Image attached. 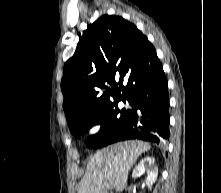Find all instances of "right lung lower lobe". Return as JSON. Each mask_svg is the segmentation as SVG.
Segmentation results:
<instances>
[{
    "instance_id": "98d812e1",
    "label": "right lung lower lobe",
    "mask_w": 221,
    "mask_h": 193,
    "mask_svg": "<svg viewBox=\"0 0 221 193\" xmlns=\"http://www.w3.org/2000/svg\"><path fill=\"white\" fill-rule=\"evenodd\" d=\"M130 100L133 109L127 124L108 139L106 145L127 139H142L156 143L168 141L170 135L168 83L160 62L137 85Z\"/></svg>"
}]
</instances>
